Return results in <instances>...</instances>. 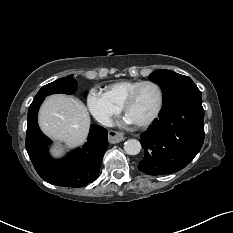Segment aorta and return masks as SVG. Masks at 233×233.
I'll use <instances>...</instances> for the list:
<instances>
[{
	"mask_svg": "<svg viewBox=\"0 0 233 233\" xmlns=\"http://www.w3.org/2000/svg\"><path fill=\"white\" fill-rule=\"evenodd\" d=\"M124 150L129 155H136L141 151V144L136 139H129L124 143Z\"/></svg>",
	"mask_w": 233,
	"mask_h": 233,
	"instance_id": "762f6f07",
	"label": "aorta"
}]
</instances>
